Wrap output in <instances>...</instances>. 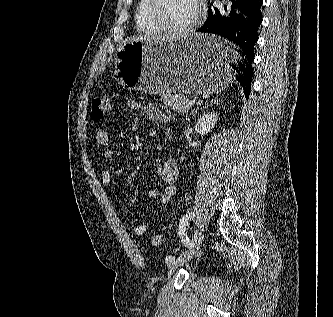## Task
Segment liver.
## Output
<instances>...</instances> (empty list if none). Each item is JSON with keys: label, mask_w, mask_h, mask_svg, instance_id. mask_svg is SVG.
Segmentation results:
<instances>
[{"label": "liver", "mask_w": 333, "mask_h": 317, "mask_svg": "<svg viewBox=\"0 0 333 317\" xmlns=\"http://www.w3.org/2000/svg\"><path fill=\"white\" fill-rule=\"evenodd\" d=\"M174 36H159V37H150V36H146V35H138V36H133L129 39H127V41H146V40H160V39H174Z\"/></svg>", "instance_id": "1"}]
</instances>
